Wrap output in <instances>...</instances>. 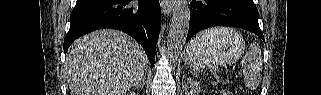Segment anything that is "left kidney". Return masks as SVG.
<instances>
[{
  "label": "left kidney",
  "instance_id": "left-kidney-1",
  "mask_svg": "<svg viewBox=\"0 0 321 95\" xmlns=\"http://www.w3.org/2000/svg\"><path fill=\"white\" fill-rule=\"evenodd\" d=\"M197 93V92H196ZM196 93L195 92H193V91H191V95H196Z\"/></svg>",
  "mask_w": 321,
  "mask_h": 95
}]
</instances>
